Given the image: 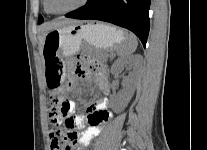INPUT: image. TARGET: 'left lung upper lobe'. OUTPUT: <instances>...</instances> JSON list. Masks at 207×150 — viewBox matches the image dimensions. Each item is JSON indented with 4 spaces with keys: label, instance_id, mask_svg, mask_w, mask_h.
<instances>
[{
    "label": "left lung upper lobe",
    "instance_id": "1",
    "mask_svg": "<svg viewBox=\"0 0 207 150\" xmlns=\"http://www.w3.org/2000/svg\"><path fill=\"white\" fill-rule=\"evenodd\" d=\"M42 22H43V18H42V16H40L38 19V23H42Z\"/></svg>",
    "mask_w": 207,
    "mask_h": 150
}]
</instances>
